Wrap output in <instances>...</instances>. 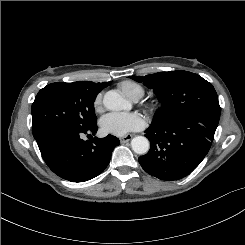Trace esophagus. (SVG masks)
I'll return each instance as SVG.
<instances>
[{
    "label": "esophagus",
    "instance_id": "esophagus-1",
    "mask_svg": "<svg viewBox=\"0 0 245 245\" xmlns=\"http://www.w3.org/2000/svg\"><path fill=\"white\" fill-rule=\"evenodd\" d=\"M132 139V135H125L119 138L121 143H126Z\"/></svg>",
    "mask_w": 245,
    "mask_h": 245
}]
</instances>
